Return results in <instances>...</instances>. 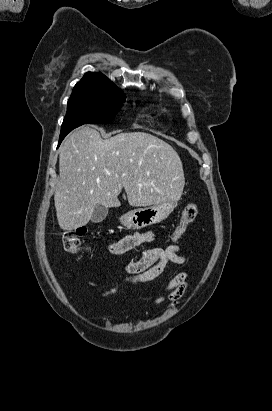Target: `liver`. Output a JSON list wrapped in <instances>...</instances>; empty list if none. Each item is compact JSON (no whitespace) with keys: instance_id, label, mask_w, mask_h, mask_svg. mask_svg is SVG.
<instances>
[{"instance_id":"liver-1","label":"liver","mask_w":272,"mask_h":411,"mask_svg":"<svg viewBox=\"0 0 272 411\" xmlns=\"http://www.w3.org/2000/svg\"><path fill=\"white\" fill-rule=\"evenodd\" d=\"M60 181L54 202L59 226H85L97 204L121 205L125 189L132 207L180 197L185 184L181 159L171 145L145 132L102 139L89 126L68 135L59 153Z\"/></svg>"}]
</instances>
